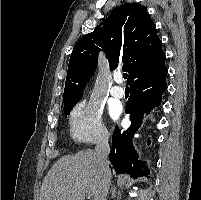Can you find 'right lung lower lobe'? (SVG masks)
<instances>
[{
    "label": "right lung lower lobe",
    "instance_id": "obj_1",
    "mask_svg": "<svg viewBox=\"0 0 201 200\" xmlns=\"http://www.w3.org/2000/svg\"><path fill=\"white\" fill-rule=\"evenodd\" d=\"M167 73L168 70L164 65L157 71L136 79L130 85L131 96L126 103V113L130 115L131 126L125 131L116 126L109 154V160L118 173H127L132 178L141 176L149 178V169L144 167V170H141L145 163L138 160L132 139L141 125L144 113H149L160 105L161 96L167 89Z\"/></svg>",
    "mask_w": 201,
    "mask_h": 200
}]
</instances>
